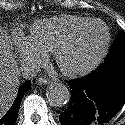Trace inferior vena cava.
Returning a JSON list of instances; mask_svg holds the SVG:
<instances>
[{"label": "inferior vena cava", "instance_id": "602c4592", "mask_svg": "<svg viewBox=\"0 0 125 125\" xmlns=\"http://www.w3.org/2000/svg\"><path fill=\"white\" fill-rule=\"evenodd\" d=\"M21 71L24 78H32L36 76L37 72L39 71V67L36 64L31 63L24 66Z\"/></svg>", "mask_w": 125, "mask_h": 125}]
</instances>
